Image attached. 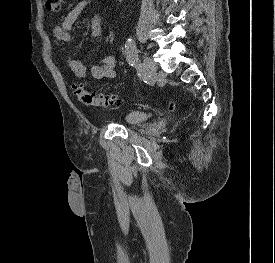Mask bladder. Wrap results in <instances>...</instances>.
I'll use <instances>...</instances> for the list:
<instances>
[{"mask_svg":"<svg viewBox=\"0 0 275 263\" xmlns=\"http://www.w3.org/2000/svg\"><path fill=\"white\" fill-rule=\"evenodd\" d=\"M149 118V114L143 111H131L125 117L126 124L130 126L138 125L145 122Z\"/></svg>","mask_w":275,"mask_h":263,"instance_id":"bladder-1","label":"bladder"}]
</instances>
